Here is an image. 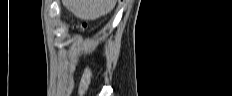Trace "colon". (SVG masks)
<instances>
[{
	"label": "colon",
	"mask_w": 232,
	"mask_h": 96,
	"mask_svg": "<svg viewBox=\"0 0 232 96\" xmlns=\"http://www.w3.org/2000/svg\"><path fill=\"white\" fill-rule=\"evenodd\" d=\"M86 27H87V25L85 23H82V24H80V25L77 26V28L79 30H84V29H86Z\"/></svg>",
	"instance_id": "1"
}]
</instances>
